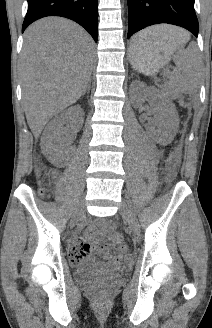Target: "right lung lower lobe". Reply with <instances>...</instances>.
I'll return each mask as SVG.
<instances>
[{"instance_id":"obj_1","label":"right lung lower lobe","mask_w":212,"mask_h":328,"mask_svg":"<svg viewBox=\"0 0 212 328\" xmlns=\"http://www.w3.org/2000/svg\"><path fill=\"white\" fill-rule=\"evenodd\" d=\"M46 16H62L76 21L97 42L98 0H28L22 32L32 22Z\"/></svg>"}]
</instances>
